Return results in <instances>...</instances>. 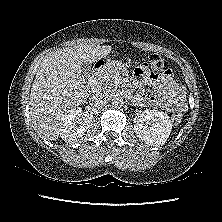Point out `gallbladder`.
<instances>
[{"instance_id":"bac80fb5","label":"gallbladder","mask_w":222,"mask_h":222,"mask_svg":"<svg viewBox=\"0 0 222 222\" xmlns=\"http://www.w3.org/2000/svg\"><path fill=\"white\" fill-rule=\"evenodd\" d=\"M90 65L89 64H84L83 65V77L85 81L90 77Z\"/></svg>"}]
</instances>
